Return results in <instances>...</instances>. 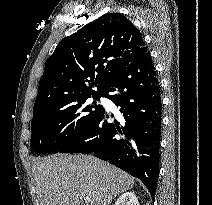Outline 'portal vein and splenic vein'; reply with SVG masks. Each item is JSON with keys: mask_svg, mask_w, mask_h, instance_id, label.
I'll return each mask as SVG.
<instances>
[{"mask_svg": "<svg viewBox=\"0 0 212 205\" xmlns=\"http://www.w3.org/2000/svg\"><path fill=\"white\" fill-rule=\"evenodd\" d=\"M84 200H85L86 203L90 202V198L89 197L84 198Z\"/></svg>", "mask_w": 212, "mask_h": 205, "instance_id": "18ae733b", "label": "portal vein and splenic vein"}]
</instances>
